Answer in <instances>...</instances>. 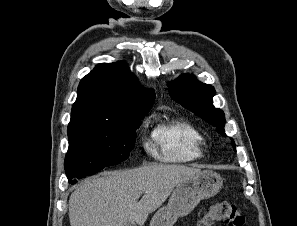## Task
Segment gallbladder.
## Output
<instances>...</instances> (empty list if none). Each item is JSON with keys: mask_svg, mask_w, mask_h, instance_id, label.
Returning a JSON list of instances; mask_svg holds the SVG:
<instances>
[{"mask_svg": "<svg viewBox=\"0 0 297 226\" xmlns=\"http://www.w3.org/2000/svg\"><path fill=\"white\" fill-rule=\"evenodd\" d=\"M124 226H136L134 222L127 221Z\"/></svg>", "mask_w": 297, "mask_h": 226, "instance_id": "1", "label": "gallbladder"}]
</instances>
